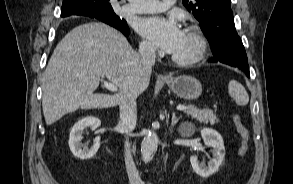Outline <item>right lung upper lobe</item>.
<instances>
[{
	"label": "right lung upper lobe",
	"instance_id": "cb5924a9",
	"mask_svg": "<svg viewBox=\"0 0 293 184\" xmlns=\"http://www.w3.org/2000/svg\"><path fill=\"white\" fill-rule=\"evenodd\" d=\"M82 1H94L102 4L107 10L113 9L111 6V0H63L61 16L67 17L71 15H84V16H96V14L84 9L80 2ZM112 20V19H109Z\"/></svg>",
	"mask_w": 293,
	"mask_h": 184
}]
</instances>
